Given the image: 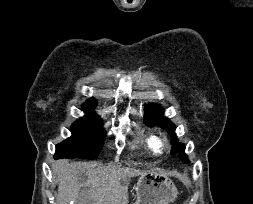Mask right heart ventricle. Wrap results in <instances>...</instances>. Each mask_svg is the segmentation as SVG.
<instances>
[{
  "label": "right heart ventricle",
  "instance_id": "e07e8e85",
  "mask_svg": "<svg viewBox=\"0 0 253 204\" xmlns=\"http://www.w3.org/2000/svg\"><path fill=\"white\" fill-rule=\"evenodd\" d=\"M142 140L148 150L154 154H158L160 152V143L157 136L153 134L144 135Z\"/></svg>",
  "mask_w": 253,
  "mask_h": 204
}]
</instances>
